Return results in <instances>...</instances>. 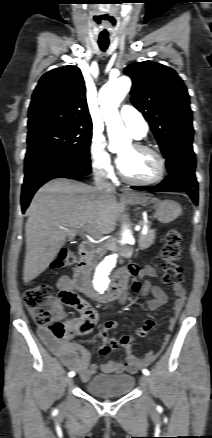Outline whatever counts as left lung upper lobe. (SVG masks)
<instances>
[{"label": "left lung upper lobe", "mask_w": 212, "mask_h": 438, "mask_svg": "<svg viewBox=\"0 0 212 438\" xmlns=\"http://www.w3.org/2000/svg\"><path fill=\"white\" fill-rule=\"evenodd\" d=\"M124 73L133 81L131 102L149 122L164 157L179 147L192 145L189 95L178 74L153 61L130 64Z\"/></svg>", "instance_id": "obj_1"}]
</instances>
